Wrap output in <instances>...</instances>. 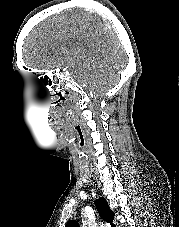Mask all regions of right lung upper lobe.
Returning <instances> with one entry per match:
<instances>
[{
  "label": "right lung upper lobe",
  "instance_id": "right-lung-upper-lobe-1",
  "mask_svg": "<svg viewBox=\"0 0 179 227\" xmlns=\"http://www.w3.org/2000/svg\"><path fill=\"white\" fill-rule=\"evenodd\" d=\"M95 205L100 217L106 222L110 223L111 227H115V225L112 224V221L114 219V212L109 208L107 201L103 197H101L95 202ZM65 227H79V224L77 221L71 220L66 224Z\"/></svg>",
  "mask_w": 179,
  "mask_h": 227
}]
</instances>
